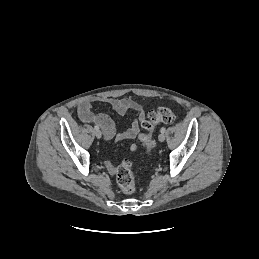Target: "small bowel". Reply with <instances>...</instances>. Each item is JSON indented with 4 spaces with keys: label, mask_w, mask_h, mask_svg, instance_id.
<instances>
[{
    "label": "small bowel",
    "mask_w": 259,
    "mask_h": 259,
    "mask_svg": "<svg viewBox=\"0 0 259 259\" xmlns=\"http://www.w3.org/2000/svg\"><path fill=\"white\" fill-rule=\"evenodd\" d=\"M93 102H102L109 104L118 114L123 115L128 111H133L136 117L131 122L128 129L117 131L112 119L103 113H94L92 111ZM79 118L85 123H95L102 128L104 139L126 140L134 139L140 132V124L146 119L143 107L131 98H114V97H94L83 100L77 108ZM131 151H136L137 146L131 145ZM105 166L110 174H115L116 166L109 161Z\"/></svg>",
    "instance_id": "1"
}]
</instances>
